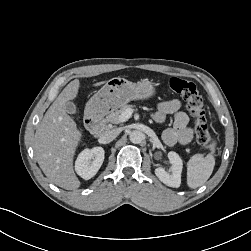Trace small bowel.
I'll list each match as a JSON object with an SVG mask.
<instances>
[{
	"mask_svg": "<svg viewBox=\"0 0 251 251\" xmlns=\"http://www.w3.org/2000/svg\"><path fill=\"white\" fill-rule=\"evenodd\" d=\"M168 115H172V127L163 133V141L169 146L175 144H188L193 137V130L188 126V116L181 110V103L177 99L162 102L154 114V120L158 123L165 121Z\"/></svg>",
	"mask_w": 251,
	"mask_h": 251,
	"instance_id": "1",
	"label": "small bowel"
}]
</instances>
